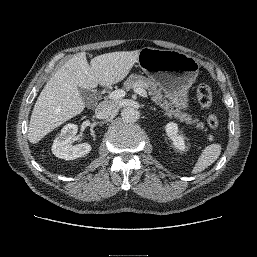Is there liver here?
Instances as JSON below:
<instances>
[{
  "instance_id": "obj_1",
  "label": "liver",
  "mask_w": 257,
  "mask_h": 257,
  "mask_svg": "<svg viewBox=\"0 0 257 257\" xmlns=\"http://www.w3.org/2000/svg\"><path fill=\"white\" fill-rule=\"evenodd\" d=\"M139 50L98 55L90 65L85 53L69 59L46 83L31 114L28 140L38 143L61 124L80 114L85 103L78 87L93 89L121 82L138 61Z\"/></svg>"
}]
</instances>
